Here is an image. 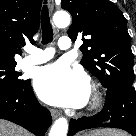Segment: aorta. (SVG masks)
<instances>
[{
	"mask_svg": "<svg viewBox=\"0 0 136 136\" xmlns=\"http://www.w3.org/2000/svg\"><path fill=\"white\" fill-rule=\"evenodd\" d=\"M70 15L65 11H57L53 16L54 24L59 27H67L70 24ZM68 131V122L66 118H59L53 124L49 136H66Z\"/></svg>",
	"mask_w": 136,
	"mask_h": 136,
	"instance_id": "obj_1",
	"label": "aorta"
}]
</instances>
